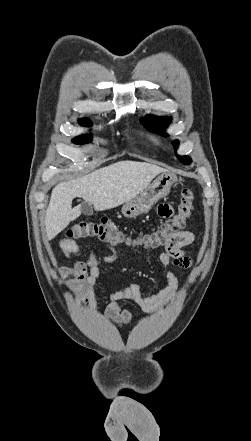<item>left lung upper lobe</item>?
<instances>
[{
	"mask_svg": "<svg viewBox=\"0 0 251 441\" xmlns=\"http://www.w3.org/2000/svg\"><path fill=\"white\" fill-rule=\"evenodd\" d=\"M171 122L170 117H159L156 118L152 115H147L144 119L141 120V123L148 129L157 132L158 134H161L163 136H167L164 132V129L167 127V125ZM177 141H175L173 144L175 145V148L177 147ZM179 160L183 162L184 164H190L191 159L187 156L179 157Z\"/></svg>",
	"mask_w": 251,
	"mask_h": 441,
	"instance_id": "left-lung-upper-lobe-1",
	"label": "left lung upper lobe"
}]
</instances>
